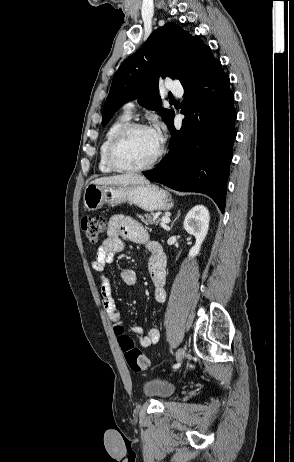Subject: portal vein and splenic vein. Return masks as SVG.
Segmentation results:
<instances>
[{
	"instance_id": "18ae733b",
	"label": "portal vein and splenic vein",
	"mask_w": 294,
	"mask_h": 462,
	"mask_svg": "<svg viewBox=\"0 0 294 462\" xmlns=\"http://www.w3.org/2000/svg\"><path fill=\"white\" fill-rule=\"evenodd\" d=\"M168 223H170V218L169 217H162L161 224L164 225V224H168Z\"/></svg>"
}]
</instances>
